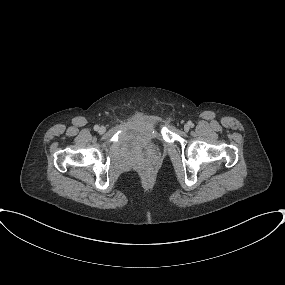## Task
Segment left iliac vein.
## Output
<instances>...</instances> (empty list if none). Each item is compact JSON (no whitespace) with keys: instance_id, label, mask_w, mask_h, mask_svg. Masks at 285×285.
I'll list each match as a JSON object with an SVG mask.
<instances>
[{"instance_id":"obj_1","label":"left iliac vein","mask_w":285,"mask_h":285,"mask_svg":"<svg viewBox=\"0 0 285 285\" xmlns=\"http://www.w3.org/2000/svg\"><path fill=\"white\" fill-rule=\"evenodd\" d=\"M189 129H190V126H189L188 124H185V125H184V130H185V131H188Z\"/></svg>"}]
</instances>
